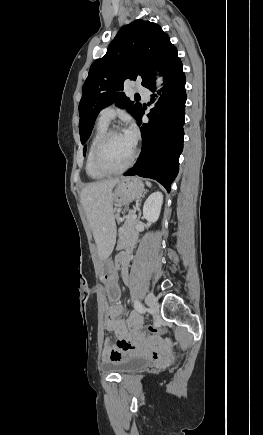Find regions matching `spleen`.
Segmentation results:
<instances>
[{
    "label": "spleen",
    "mask_w": 263,
    "mask_h": 435,
    "mask_svg": "<svg viewBox=\"0 0 263 435\" xmlns=\"http://www.w3.org/2000/svg\"><path fill=\"white\" fill-rule=\"evenodd\" d=\"M146 185L150 187L151 183L149 181H146Z\"/></svg>",
    "instance_id": "3e777b00"
}]
</instances>
